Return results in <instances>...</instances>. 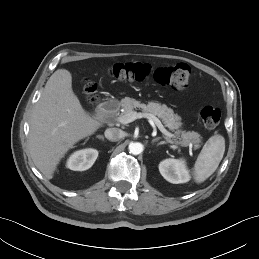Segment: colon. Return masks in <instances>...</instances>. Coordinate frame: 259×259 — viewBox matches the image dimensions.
<instances>
[{"mask_svg": "<svg viewBox=\"0 0 259 259\" xmlns=\"http://www.w3.org/2000/svg\"><path fill=\"white\" fill-rule=\"evenodd\" d=\"M109 73L117 80L131 82L144 81L152 76L158 84L174 90H184L191 78L190 67L182 63L153 69L150 65L141 62H122L111 66ZM84 95L89 103L97 102L98 97L93 83L85 84ZM200 116L205 128L214 129L220 122L221 111L216 107L206 106L201 110Z\"/></svg>", "mask_w": 259, "mask_h": 259, "instance_id": "1", "label": "colon"}]
</instances>
